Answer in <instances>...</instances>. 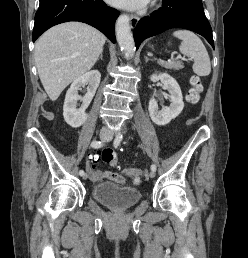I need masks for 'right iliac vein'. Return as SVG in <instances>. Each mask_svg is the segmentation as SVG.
<instances>
[{"mask_svg":"<svg viewBox=\"0 0 248 258\" xmlns=\"http://www.w3.org/2000/svg\"><path fill=\"white\" fill-rule=\"evenodd\" d=\"M108 137H109V134L108 133H106V132H104V131H101L100 132V139L101 140H103V141H106L107 139H108ZM88 173H85L84 175H83V179L84 180H86L87 178H88Z\"/></svg>","mask_w":248,"mask_h":258,"instance_id":"63e3f726","label":"right iliac vein"}]
</instances>
